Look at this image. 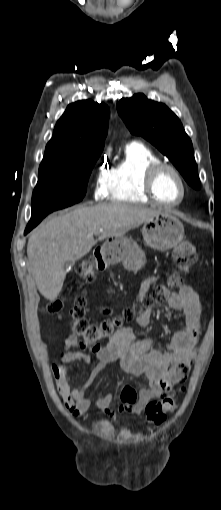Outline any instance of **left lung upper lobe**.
Instances as JSON below:
<instances>
[{
	"label": "left lung upper lobe",
	"instance_id": "obj_1",
	"mask_svg": "<svg viewBox=\"0 0 221 510\" xmlns=\"http://www.w3.org/2000/svg\"><path fill=\"white\" fill-rule=\"evenodd\" d=\"M117 110L132 134L150 141L190 186L200 188L192 142L178 117L166 105L148 100L144 94H135L121 99Z\"/></svg>",
	"mask_w": 221,
	"mask_h": 510
}]
</instances>
